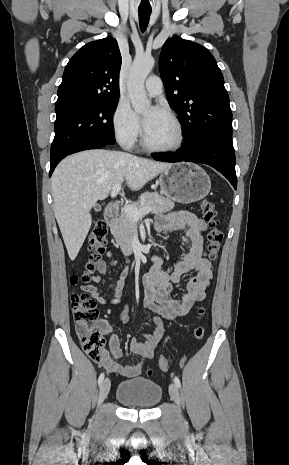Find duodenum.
<instances>
[{"instance_id":"duodenum-1","label":"duodenum","mask_w":289,"mask_h":465,"mask_svg":"<svg viewBox=\"0 0 289 465\" xmlns=\"http://www.w3.org/2000/svg\"><path fill=\"white\" fill-rule=\"evenodd\" d=\"M119 214V203L111 202L105 210V220L108 224L112 225L116 222Z\"/></svg>"}]
</instances>
